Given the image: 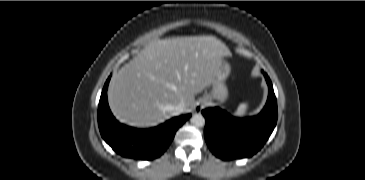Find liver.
I'll list each match as a JSON object with an SVG mask.
<instances>
[{
    "label": "liver",
    "mask_w": 365,
    "mask_h": 180,
    "mask_svg": "<svg viewBox=\"0 0 365 180\" xmlns=\"http://www.w3.org/2000/svg\"><path fill=\"white\" fill-rule=\"evenodd\" d=\"M228 47L215 36L176 37L150 42L113 75L108 101L115 117L131 126L151 127L195 106V95L212 84Z\"/></svg>",
    "instance_id": "6515ba94"
}]
</instances>
